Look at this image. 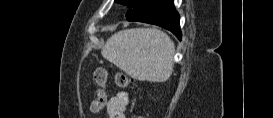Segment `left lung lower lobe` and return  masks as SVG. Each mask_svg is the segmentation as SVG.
Returning a JSON list of instances; mask_svg holds the SVG:
<instances>
[{
    "label": "left lung lower lobe",
    "instance_id": "1",
    "mask_svg": "<svg viewBox=\"0 0 273 118\" xmlns=\"http://www.w3.org/2000/svg\"><path fill=\"white\" fill-rule=\"evenodd\" d=\"M139 22L161 26L171 31L179 40H181L182 34L180 30V16L175 10L173 0H169L156 13L145 17Z\"/></svg>",
    "mask_w": 273,
    "mask_h": 118
}]
</instances>
